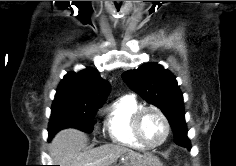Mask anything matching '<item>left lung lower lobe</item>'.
Returning <instances> with one entry per match:
<instances>
[{
    "mask_svg": "<svg viewBox=\"0 0 236 166\" xmlns=\"http://www.w3.org/2000/svg\"><path fill=\"white\" fill-rule=\"evenodd\" d=\"M170 125L173 130L175 143L180 146L187 147V149H190L191 145L190 140L187 137L186 124H184L182 121H177L174 123H170Z\"/></svg>",
    "mask_w": 236,
    "mask_h": 166,
    "instance_id": "0a47b994",
    "label": "left lung lower lobe"
}]
</instances>
